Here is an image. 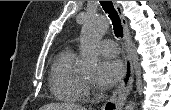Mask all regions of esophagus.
I'll return each instance as SVG.
<instances>
[{"instance_id": "obj_1", "label": "esophagus", "mask_w": 171, "mask_h": 110, "mask_svg": "<svg viewBox=\"0 0 171 110\" xmlns=\"http://www.w3.org/2000/svg\"><path fill=\"white\" fill-rule=\"evenodd\" d=\"M114 7L119 14L123 26L124 31V39H125V46H126V58H125V72L123 78L117 87V89L113 92L110 99L105 103L103 106V110H121L125 104L127 96L130 92L133 83L134 77V68L131 56V35L129 32L127 20L122 13L121 6L116 2L113 1Z\"/></svg>"}]
</instances>
